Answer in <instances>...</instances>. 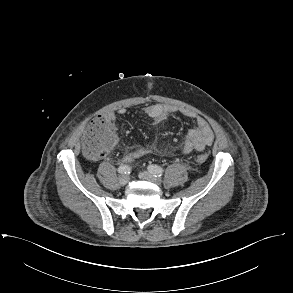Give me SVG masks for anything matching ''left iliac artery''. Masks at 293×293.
Masks as SVG:
<instances>
[{
    "label": "left iliac artery",
    "mask_w": 293,
    "mask_h": 293,
    "mask_svg": "<svg viewBox=\"0 0 293 293\" xmlns=\"http://www.w3.org/2000/svg\"><path fill=\"white\" fill-rule=\"evenodd\" d=\"M148 171L152 174H154L155 177H160L163 174V169L160 166L157 165H149Z\"/></svg>",
    "instance_id": "obj_1"
}]
</instances>
